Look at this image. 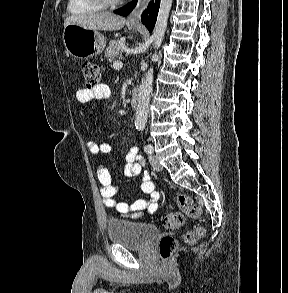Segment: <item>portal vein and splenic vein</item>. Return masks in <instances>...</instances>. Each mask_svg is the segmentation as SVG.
<instances>
[{
	"mask_svg": "<svg viewBox=\"0 0 288 293\" xmlns=\"http://www.w3.org/2000/svg\"><path fill=\"white\" fill-rule=\"evenodd\" d=\"M122 66H123V64H122L121 61H115V62L113 63V67H114V69H120Z\"/></svg>",
	"mask_w": 288,
	"mask_h": 293,
	"instance_id": "1",
	"label": "portal vein and splenic vein"
}]
</instances>
